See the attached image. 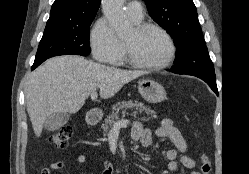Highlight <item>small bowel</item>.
<instances>
[{"mask_svg":"<svg viewBox=\"0 0 249 174\" xmlns=\"http://www.w3.org/2000/svg\"><path fill=\"white\" fill-rule=\"evenodd\" d=\"M151 129L144 128L140 122H135L132 127V137L144 147H150L152 144ZM155 135L160 140L168 141L173 148L168 149L164 153V157L169 160L168 169L171 172L178 171L180 165L186 169H193L196 165L195 160L187 155V144L179 129L170 119L162 120L160 126L155 130ZM75 161L78 164H84L87 161L85 155H77ZM65 167V162L55 161L51 163L49 168H44L41 174H51L52 171H59ZM102 174H119V169L110 161L104 160V170ZM191 174H199L193 171Z\"/></svg>","mask_w":249,"mask_h":174,"instance_id":"1","label":"small bowel"}]
</instances>
